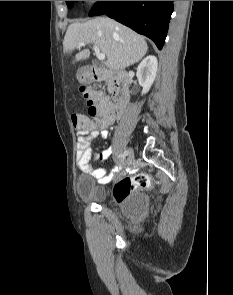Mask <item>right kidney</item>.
I'll return each mask as SVG.
<instances>
[{"mask_svg": "<svg viewBox=\"0 0 233 295\" xmlns=\"http://www.w3.org/2000/svg\"><path fill=\"white\" fill-rule=\"evenodd\" d=\"M158 61L153 55L147 56L137 67L136 76L140 86H142V94H146L151 88L157 72Z\"/></svg>", "mask_w": 233, "mask_h": 295, "instance_id": "obj_1", "label": "right kidney"}]
</instances>
